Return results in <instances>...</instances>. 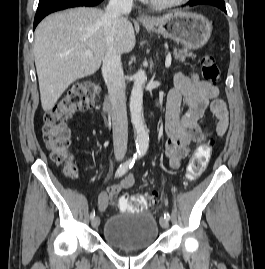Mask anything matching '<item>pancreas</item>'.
<instances>
[{"label": "pancreas", "instance_id": "pancreas-1", "mask_svg": "<svg viewBox=\"0 0 265 269\" xmlns=\"http://www.w3.org/2000/svg\"><path fill=\"white\" fill-rule=\"evenodd\" d=\"M174 58L179 61H185L186 57L194 58L195 56L188 51V49H175Z\"/></svg>", "mask_w": 265, "mask_h": 269}]
</instances>
